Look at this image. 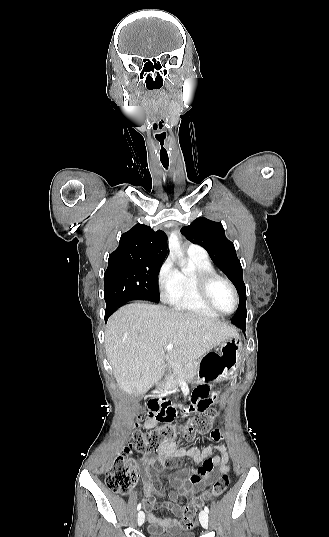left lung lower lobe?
Listing matches in <instances>:
<instances>
[{
    "instance_id": "1",
    "label": "left lung lower lobe",
    "mask_w": 329,
    "mask_h": 537,
    "mask_svg": "<svg viewBox=\"0 0 329 537\" xmlns=\"http://www.w3.org/2000/svg\"><path fill=\"white\" fill-rule=\"evenodd\" d=\"M241 329L243 332H245V329H246V323L244 325H241Z\"/></svg>"
}]
</instances>
